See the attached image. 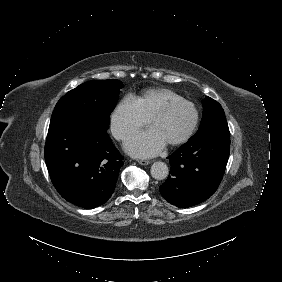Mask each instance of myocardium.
Returning a JSON list of instances; mask_svg holds the SVG:
<instances>
[{
    "instance_id": "obj_1",
    "label": "myocardium",
    "mask_w": 282,
    "mask_h": 282,
    "mask_svg": "<svg viewBox=\"0 0 282 282\" xmlns=\"http://www.w3.org/2000/svg\"><path fill=\"white\" fill-rule=\"evenodd\" d=\"M181 107L187 108L190 111L191 121H190L188 128L183 133V135H181L176 140L168 142V145L170 146H178V145H181L187 142L190 139V137L192 136V134L194 133L198 125V121H199V113L195 105L187 100H182V99L181 100H172L167 105V107H165L162 110L154 112L149 119V123L153 125L155 120H157L158 118L166 115L167 113H169L171 110L175 108H181Z\"/></svg>"
}]
</instances>
